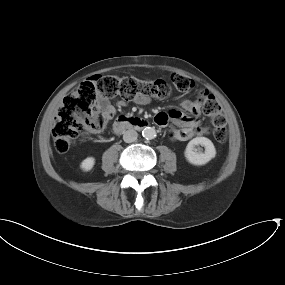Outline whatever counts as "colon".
Wrapping results in <instances>:
<instances>
[{
  "instance_id": "5ec220e1",
  "label": "colon",
  "mask_w": 285,
  "mask_h": 285,
  "mask_svg": "<svg viewBox=\"0 0 285 285\" xmlns=\"http://www.w3.org/2000/svg\"><path fill=\"white\" fill-rule=\"evenodd\" d=\"M171 82L177 91L185 92L193 87V81L185 75L173 74ZM170 93V87L164 80L143 81L131 75H96L81 83L63 100L62 107L54 123L53 141L57 152H67L76 142L79 134L86 128L90 118L96 113L98 95H119L125 99L136 97L164 98ZM198 103L205 115L212 121L210 134L215 141L223 143L227 139L226 120L217 99L208 91L198 95ZM158 126L168 122L166 113H158L154 119Z\"/></svg>"
}]
</instances>
